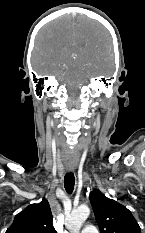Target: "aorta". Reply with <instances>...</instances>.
<instances>
[{"label": "aorta", "instance_id": "1", "mask_svg": "<svg viewBox=\"0 0 145 233\" xmlns=\"http://www.w3.org/2000/svg\"><path fill=\"white\" fill-rule=\"evenodd\" d=\"M90 215V208L87 205H81L73 210L70 216L66 219V233H80V229L84 221Z\"/></svg>", "mask_w": 145, "mask_h": 233}]
</instances>
